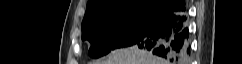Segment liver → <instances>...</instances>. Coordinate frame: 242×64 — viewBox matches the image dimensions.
<instances>
[{
  "mask_svg": "<svg viewBox=\"0 0 242 64\" xmlns=\"http://www.w3.org/2000/svg\"><path fill=\"white\" fill-rule=\"evenodd\" d=\"M91 64H164V60L133 46L117 49L106 59L96 60Z\"/></svg>",
  "mask_w": 242,
  "mask_h": 64,
  "instance_id": "obj_1",
  "label": "liver"
}]
</instances>
